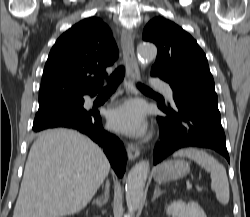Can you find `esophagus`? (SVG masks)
I'll return each mask as SVG.
<instances>
[{
  "label": "esophagus",
  "instance_id": "esophagus-1",
  "mask_svg": "<svg viewBox=\"0 0 250 217\" xmlns=\"http://www.w3.org/2000/svg\"><path fill=\"white\" fill-rule=\"evenodd\" d=\"M121 43L123 48V57L127 68V78L125 80L124 85L126 93L129 95L134 93L135 91L134 82L140 79V72L138 68L137 59L135 56L134 37L126 29H122L121 31ZM127 154L129 160L134 161L139 157L140 150L138 146L135 145L134 143H128Z\"/></svg>",
  "mask_w": 250,
  "mask_h": 217
}]
</instances>
